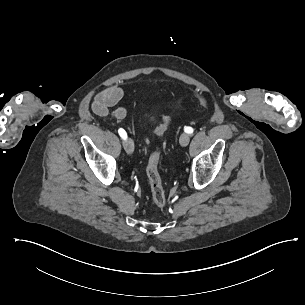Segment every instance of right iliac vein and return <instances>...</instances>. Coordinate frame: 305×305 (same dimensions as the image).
Returning <instances> with one entry per match:
<instances>
[{
    "instance_id": "obj_1",
    "label": "right iliac vein",
    "mask_w": 305,
    "mask_h": 305,
    "mask_svg": "<svg viewBox=\"0 0 305 305\" xmlns=\"http://www.w3.org/2000/svg\"><path fill=\"white\" fill-rule=\"evenodd\" d=\"M123 145L128 154H133L134 143H133L132 139L128 138L126 141H123Z\"/></svg>"
}]
</instances>
